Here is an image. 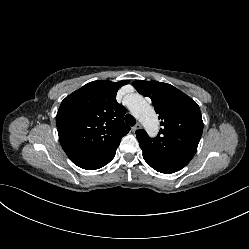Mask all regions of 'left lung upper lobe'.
I'll return each instance as SVG.
<instances>
[{
  "label": "left lung upper lobe",
  "instance_id": "1",
  "mask_svg": "<svg viewBox=\"0 0 249 249\" xmlns=\"http://www.w3.org/2000/svg\"><path fill=\"white\" fill-rule=\"evenodd\" d=\"M132 85L151 98L162 125L155 138L144 130L136 131L143 158L185 167L195 155L203 131L199 106L167 83L135 81Z\"/></svg>",
  "mask_w": 249,
  "mask_h": 249
}]
</instances>
